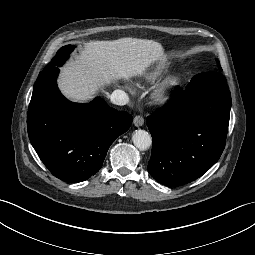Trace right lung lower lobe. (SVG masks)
<instances>
[{
  "mask_svg": "<svg viewBox=\"0 0 255 255\" xmlns=\"http://www.w3.org/2000/svg\"><path fill=\"white\" fill-rule=\"evenodd\" d=\"M59 69H44L28 108L30 142L49 171L69 183L89 179L103 165L110 145L126 132L133 117L102 99L73 103L58 90Z\"/></svg>",
  "mask_w": 255,
  "mask_h": 255,
  "instance_id": "98d812e1",
  "label": "right lung lower lobe"
}]
</instances>
